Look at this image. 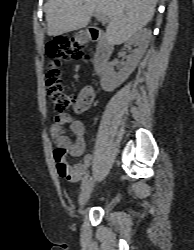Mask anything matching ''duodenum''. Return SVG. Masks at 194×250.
Listing matches in <instances>:
<instances>
[{
    "label": "duodenum",
    "mask_w": 194,
    "mask_h": 250,
    "mask_svg": "<svg viewBox=\"0 0 194 250\" xmlns=\"http://www.w3.org/2000/svg\"><path fill=\"white\" fill-rule=\"evenodd\" d=\"M88 37L97 44L93 68L95 72L100 73L113 52V45L101 29L94 25L88 28Z\"/></svg>",
    "instance_id": "410a0bca"
}]
</instances>
